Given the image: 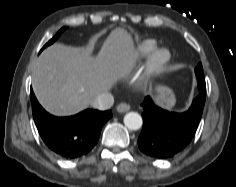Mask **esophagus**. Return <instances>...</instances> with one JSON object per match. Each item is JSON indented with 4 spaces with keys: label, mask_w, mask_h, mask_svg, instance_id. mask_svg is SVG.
Instances as JSON below:
<instances>
[{
    "label": "esophagus",
    "mask_w": 236,
    "mask_h": 187,
    "mask_svg": "<svg viewBox=\"0 0 236 187\" xmlns=\"http://www.w3.org/2000/svg\"><path fill=\"white\" fill-rule=\"evenodd\" d=\"M116 110L119 113H124V112H127V111L130 110V106L126 103H120V104L117 105Z\"/></svg>",
    "instance_id": "1"
}]
</instances>
